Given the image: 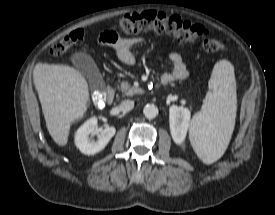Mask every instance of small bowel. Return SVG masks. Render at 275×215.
Masks as SVG:
<instances>
[{"mask_svg":"<svg viewBox=\"0 0 275 215\" xmlns=\"http://www.w3.org/2000/svg\"><path fill=\"white\" fill-rule=\"evenodd\" d=\"M102 44L110 46L116 53L119 60L127 65H132L136 62V57L133 53L134 48L142 42L139 37L124 38L113 31H104L99 38ZM170 61L173 69L162 75L161 80L163 84H168L173 81L185 80L188 77V70L179 53H171Z\"/></svg>","mask_w":275,"mask_h":215,"instance_id":"obj_1","label":"small bowel"}]
</instances>
